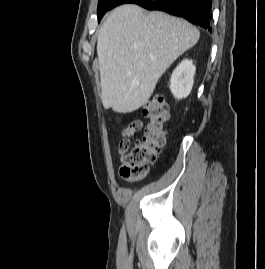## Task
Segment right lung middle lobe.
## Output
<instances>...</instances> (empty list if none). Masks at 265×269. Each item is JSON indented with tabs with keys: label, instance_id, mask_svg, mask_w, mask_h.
<instances>
[{
	"label": "right lung middle lobe",
	"instance_id": "dd1d6c3e",
	"mask_svg": "<svg viewBox=\"0 0 265 269\" xmlns=\"http://www.w3.org/2000/svg\"><path fill=\"white\" fill-rule=\"evenodd\" d=\"M114 0H99L98 3V21L101 20L106 11H108L109 7L113 3Z\"/></svg>",
	"mask_w": 265,
	"mask_h": 269
}]
</instances>
